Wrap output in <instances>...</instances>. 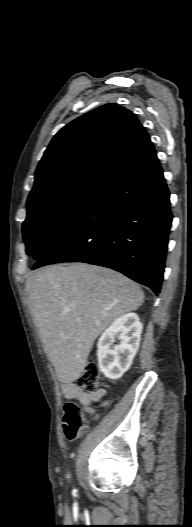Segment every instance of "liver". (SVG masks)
Wrapping results in <instances>:
<instances>
[{"mask_svg": "<svg viewBox=\"0 0 192 527\" xmlns=\"http://www.w3.org/2000/svg\"><path fill=\"white\" fill-rule=\"evenodd\" d=\"M28 306L62 383L76 381L95 339L144 302L140 286L114 270L83 263L52 265L26 281Z\"/></svg>", "mask_w": 192, "mask_h": 527, "instance_id": "obj_1", "label": "liver"}]
</instances>
